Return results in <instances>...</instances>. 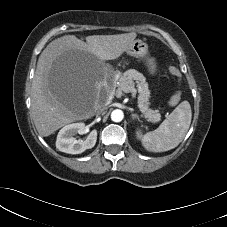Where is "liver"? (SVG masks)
Returning <instances> with one entry per match:
<instances>
[{
  "mask_svg": "<svg viewBox=\"0 0 227 227\" xmlns=\"http://www.w3.org/2000/svg\"><path fill=\"white\" fill-rule=\"evenodd\" d=\"M136 36L135 32L92 35L84 42L74 35H65L47 45L39 56L31 93L32 118L41 136H49L66 124L93 115L95 108L92 104L97 103L104 85L99 62L119 58ZM67 60L81 63L88 74L85 88L74 95L64 94L54 87V71ZM86 99L91 102V107H84Z\"/></svg>",
  "mask_w": 227,
  "mask_h": 227,
  "instance_id": "6515ba94",
  "label": "liver"
}]
</instances>
